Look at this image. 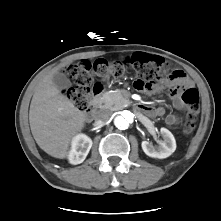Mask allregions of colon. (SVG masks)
<instances>
[{"mask_svg":"<svg viewBox=\"0 0 221 221\" xmlns=\"http://www.w3.org/2000/svg\"><path fill=\"white\" fill-rule=\"evenodd\" d=\"M132 67L137 74L135 85L139 90L150 89L162 79L166 63L160 56L146 53H136L125 62L98 59L94 62L88 60L78 61L66 69L70 87L66 90V97L80 110H86L89 105L91 84L95 76L119 78L126 70ZM181 99L188 107V113L183 126V133L191 135L197 125L199 114V94L191 86L178 85Z\"/></svg>","mask_w":221,"mask_h":221,"instance_id":"5ec220e1","label":"colon"}]
</instances>
